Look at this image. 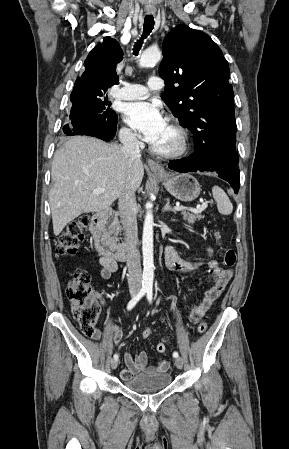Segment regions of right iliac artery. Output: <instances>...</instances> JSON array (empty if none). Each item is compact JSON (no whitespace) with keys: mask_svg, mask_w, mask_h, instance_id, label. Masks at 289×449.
Returning a JSON list of instances; mask_svg holds the SVG:
<instances>
[{"mask_svg":"<svg viewBox=\"0 0 289 449\" xmlns=\"http://www.w3.org/2000/svg\"><path fill=\"white\" fill-rule=\"evenodd\" d=\"M147 292V289H141L138 294L136 296H134L128 303L127 305V310H131L136 304L137 302L145 295V293ZM113 358L115 360H118L119 356L118 354H114Z\"/></svg>","mask_w":289,"mask_h":449,"instance_id":"1","label":"right iliac artery"}]
</instances>
